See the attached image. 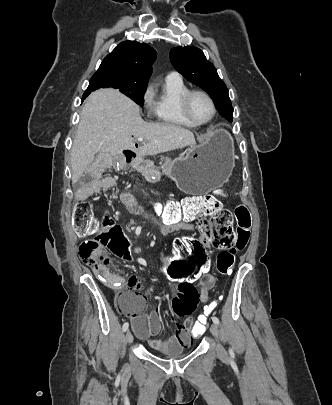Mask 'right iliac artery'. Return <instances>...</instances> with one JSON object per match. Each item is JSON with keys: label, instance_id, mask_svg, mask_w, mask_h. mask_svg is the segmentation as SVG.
<instances>
[{"label": "right iliac artery", "instance_id": "1", "mask_svg": "<svg viewBox=\"0 0 332 405\" xmlns=\"http://www.w3.org/2000/svg\"><path fill=\"white\" fill-rule=\"evenodd\" d=\"M128 327H129V323H128V322L124 323V324H123V327H122L123 331H124V332L127 331V330H128Z\"/></svg>", "mask_w": 332, "mask_h": 405}]
</instances>
